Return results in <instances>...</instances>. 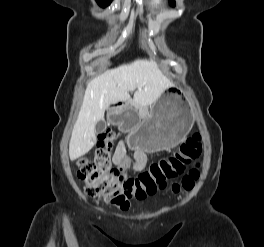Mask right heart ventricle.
Returning <instances> with one entry per match:
<instances>
[{"label":"right heart ventricle","mask_w":264,"mask_h":247,"mask_svg":"<svg viewBox=\"0 0 264 247\" xmlns=\"http://www.w3.org/2000/svg\"><path fill=\"white\" fill-rule=\"evenodd\" d=\"M150 4L152 7L159 9L164 6L165 0H151Z\"/></svg>","instance_id":"1"}]
</instances>
